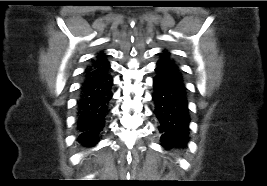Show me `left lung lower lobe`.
<instances>
[{
	"label": "left lung lower lobe",
	"mask_w": 267,
	"mask_h": 186,
	"mask_svg": "<svg viewBox=\"0 0 267 186\" xmlns=\"http://www.w3.org/2000/svg\"><path fill=\"white\" fill-rule=\"evenodd\" d=\"M155 71L152 100L162 145H186L190 117L181 71L173 60L161 53Z\"/></svg>",
	"instance_id": "0a47b994"
}]
</instances>
